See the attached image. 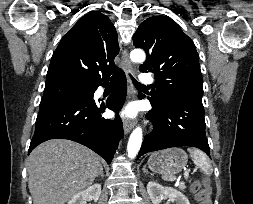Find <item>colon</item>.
Here are the masks:
<instances>
[{
  "label": "colon",
  "instance_id": "colon-1",
  "mask_svg": "<svg viewBox=\"0 0 253 204\" xmlns=\"http://www.w3.org/2000/svg\"><path fill=\"white\" fill-rule=\"evenodd\" d=\"M192 189L199 204H212L210 190L205 184L196 183Z\"/></svg>",
  "mask_w": 253,
  "mask_h": 204
}]
</instances>
